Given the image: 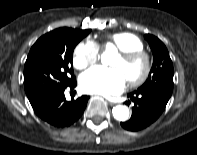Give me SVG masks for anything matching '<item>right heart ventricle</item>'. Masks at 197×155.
Listing matches in <instances>:
<instances>
[{
    "instance_id": "right-heart-ventricle-1",
    "label": "right heart ventricle",
    "mask_w": 197,
    "mask_h": 155,
    "mask_svg": "<svg viewBox=\"0 0 197 155\" xmlns=\"http://www.w3.org/2000/svg\"><path fill=\"white\" fill-rule=\"evenodd\" d=\"M104 44L113 45L120 51L139 50L143 48L142 40L130 32L114 33L105 39Z\"/></svg>"
}]
</instances>
